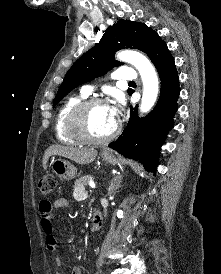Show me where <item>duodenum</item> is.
<instances>
[{
  "mask_svg": "<svg viewBox=\"0 0 221 274\" xmlns=\"http://www.w3.org/2000/svg\"><path fill=\"white\" fill-rule=\"evenodd\" d=\"M102 222H103L102 213L99 210H95L93 212L92 219H91V231L92 232L98 231L102 226Z\"/></svg>",
  "mask_w": 221,
  "mask_h": 274,
  "instance_id": "obj_1",
  "label": "duodenum"
}]
</instances>
